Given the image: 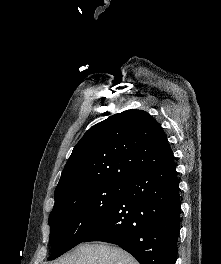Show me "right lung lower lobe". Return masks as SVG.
<instances>
[{"label": "right lung lower lobe", "mask_w": 221, "mask_h": 264, "mask_svg": "<svg viewBox=\"0 0 221 264\" xmlns=\"http://www.w3.org/2000/svg\"><path fill=\"white\" fill-rule=\"evenodd\" d=\"M180 209L172 159L128 179L114 208L82 242L119 245L140 264H175Z\"/></svg>", "instance_id": "right-lung-lower-lobe-1"}]
</instances>
